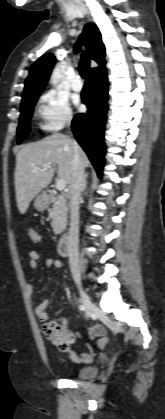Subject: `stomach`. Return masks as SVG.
<instances>
[{"label": "stomach", "instance_id": "obj_1", "mask_svg": "<svg viewBox=\"0 0 165 419\" xmlns=\"http://www.w3.org/2000/svg\"><path fill=\"white\" fill-rule=\"evenodd\" d=\"M34 206L37 210L43 211L47 206V202L44 200L43 196H38L34 201Z\"/></svg>", "mask_w": 165, "mask_h": 419}]
</instances>
